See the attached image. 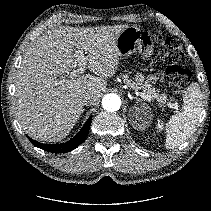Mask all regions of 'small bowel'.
<instances>
[{"label": "small bowel", "instance_id": "1", "mask_svg": "<svg viewBox=\"0 0 211 211\" xmlns=\"http://www.w3.org/2000/svg\"><path fill=\"white\" fill-rule=\"evenodd\" d=\"M157 79H158V76H153V77H152V80H153V81H156Z\"/></svg>", "mask_w": 211, "mask_h": 211}]
</instances>
